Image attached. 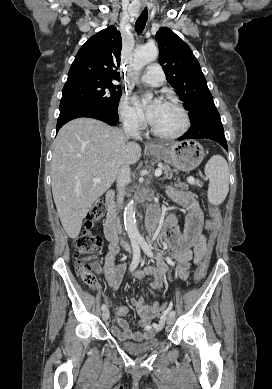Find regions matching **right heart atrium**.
Here are the masks:
<instances>
[{"label": "right heart atrium", "instance_id": "d8ad5b80", "mask_svg": "<svg viewBox=\"0 0 272 389\" xmlns=\"http://www.w3.org/2000/svg\"><path fill=\"white\" fill-rule=\"evenodd\" d=\"M118 111L122 122L129 128L139 130L144 126V115L129 95L123 94L121 96Z\"/></svg>", "mask_w": 272, "mask_h": 389}]
</instances>
